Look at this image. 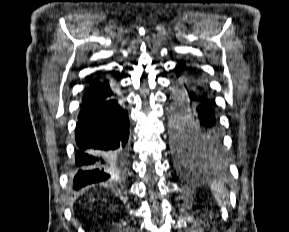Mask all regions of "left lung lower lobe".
<instances>
[{"mask_svg":"<svg viewBox=\"0 0 289 232\" xmlns=\"http://www.w3.org/2000/svg\"><path fill=\"white\" fill-rule=\"evenodd\" d=\"M175 71L188 100V107L181 114L193 121L197 130L208 142L221 148L222 135L220 126L212 100L198 69L180 61Z\"/></svg>","mask_w":289,"mask_h":232,"instance_id":"obj_1","label":"left lung lower lobe"}]
</instances>
